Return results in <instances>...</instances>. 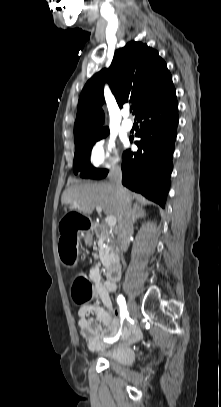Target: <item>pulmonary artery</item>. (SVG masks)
Instances as JSON below:
<instances>
[{
  "label": "pulmonary artery",
  "mask_w": 221,
  "mask_h": 407,
  "mask_svg": "<svg viewBox=\"0 0 221 407\" xmlns=\"http://www.w3.org/2000/svg\"><path fill=\"white\" fill-rule=\"evenodd\" d=\"M124 119L122 122V127L125 131H130L133 128V122L129 118V112L126 110L123 113Z\"/></svg>",
  "instance_id": "obj_1"
}]
</instances>
